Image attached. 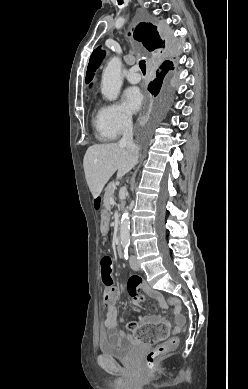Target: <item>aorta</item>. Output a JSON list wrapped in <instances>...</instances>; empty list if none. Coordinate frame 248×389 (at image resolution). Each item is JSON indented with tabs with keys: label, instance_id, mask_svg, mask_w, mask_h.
Masks as SVG:
<instances>
[{
	"label": "aorta",
	"instance_id": "762f6f07",
	"mask_svg": "<svg viewBox=\"0 0 248 389\" xmlns=\"http://www.w3.org/2000/svg\"><path fill=\"white\" fill-rule=\"evenodd\" d=\"M121 60L119 57H113L108 63L102 74L101 92L109 101L116 100L121 86ZM121 244L128 247L130 244V217L128 210H125L120 224Z\"/></svg>",
	"mask_w": 248,
	"mask_h": 389
}]
</instances>
